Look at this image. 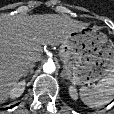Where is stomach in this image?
<instances>
[{"mask_svg":"<svg viewBox=\"0 0 114 114\" xmlns=\"http://www.w3.org/2000/svg\"><path fill=\"white\" fill-rule=\"evenodd\" d=\"M59 55L73 84L90 85L114 70L113 42L89 26L69 33L61 43Z\"/></svg>","mask_w":114,"mask_h":114,"instance_id":"stomach-1","label":"stomach"}]
</instances>
